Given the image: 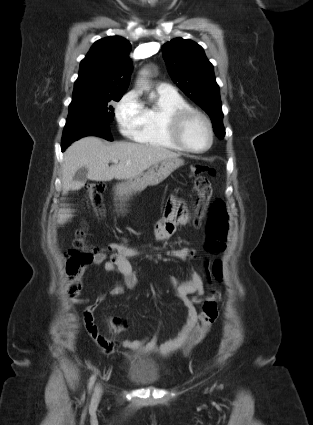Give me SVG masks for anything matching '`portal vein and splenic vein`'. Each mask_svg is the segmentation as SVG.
<instances>
[{
  "instance_id": "obj_1",
  "label": "portal vein and splenic vein",
  "mask_w": 313,
  "mask_h": 425,
  "mask_svg": "<svg viewBox=\"0 0 313 425\" xmlns=\"http://www.w3.org/2000/svg\"><path fill=\"white\" fill-rule=\"evenodd\" d=\"M112 162L115 163V164H117L118 163V160L117 159H112Z\"/></svg>"
}]
</instances>
